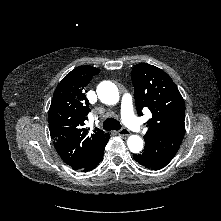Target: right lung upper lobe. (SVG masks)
<instances>
[{
	"label": "right lung upper lobe",
	"mask_w": 221,
	"mask_h": 221,
	"mask_svg": "<svg viewBox=\"0 0 221 221\" xmlns=\"http://www.w3.org/2000/svg\"><path fill=\"white\" fill-rule=\"evenodd\" d=\"M100 72L92 66H79L58 84L49 109L48 123L51 138L62 160L74 170H82L97 156L110 135L95 128L89 132V101L84 88Z\"/></svg>",
	"instance_id": "right-lung-upper-lobe-1"
}]
</instances>
